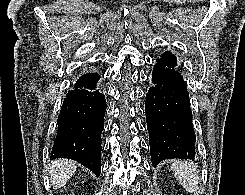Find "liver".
Returning a JSON list of instances; mask_svg holds the SVG:
<instances>
[{"mask_svg": "<svg viewBox=\"0 0 245 195\" xmlns=\"http://www.w3.org/2000/svg\"><path fill=\"white\" fill-rule=\"evenodd\" d=\"M77 168L75 161L70 159H58L49 167L50 181L55 189L63 187L72 177Z\"/></svg>", "mask_w": 245, "mask_h": 195, "instance_id": "liver-1", "label": "liver"}]
</instances>
